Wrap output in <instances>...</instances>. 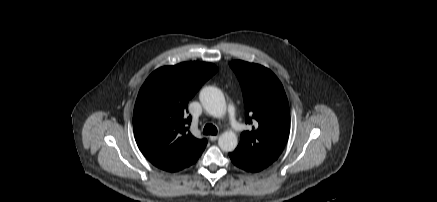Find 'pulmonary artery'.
<instances>
[{
    "mask_svg": "<svg viewBox=\"0 0 437 202\" xmlns=\"http://www.w3.org/2000/svg\"><path fill=\"white\" fill-rule=\"evenodd\" d=\"M228 120H229V123H230L231 127L234 130H239L240 129V125L236 121L234 108L232 106L228 107Z\"/></svg>",
    "mask_w": 437,
    "mask_h": 202,
    "instance_id": "obj_1",
    "label": "pulmonary artery"
}]
</instances>
